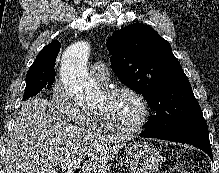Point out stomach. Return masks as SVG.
Returning <instances> with one entry per match:
<instances>
[{
    "instance_id": "stomach-1",
    "label": "stomach",
    "mask_w": 219,
    "mask_h": 173,
    "mask_svg": "<svg viewBox=\"0 0 219 173\" xmlns=\"http://www.w3.org/2000/svg\"><path fill=\"white\" fill-rule=\"evenodd\" d=\"M122 158L130 173H155L164 161L162 153L146 142H134L125 147Z\"/></svg>"
}]
</instances>
